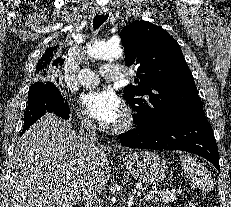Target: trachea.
Here are the masks:
<instances>
[{
	"instance_id": "3493384b",
	"label": "trachea",
	"mask_w": 231,
	"mask_h": 207,
	"mask_svg": "<svg viewBox=\"0 0 231 207\" xmlns=\"http://www.w3.org/2000/svg\"><path fill=\"white\" fill-rule=\"evenodd\" d=\"M109 15H99L96 14V16L93 19V28L94 30L98 29L107 19H108Z\"/></svg>"
}]
</instances>
